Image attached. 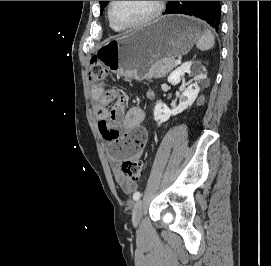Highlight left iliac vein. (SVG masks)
Wrapping results in <instances>:
<instances>
[{"label":"left iliac vein","instance_id":"4c4485c4","mask_svg":"<svg viewBox=\"0 0 271 266\" xmlns=\"http://www.w3.org/2000/svg\"><path fill=\"white\" fill-rule=\"evenodd\" d=\"M143 214V202L142 200H138L132 211V223L134 227H137L140 224L141 217Z\"/></svg>","mask_w":271,"mask_h":266}]
</instances>
